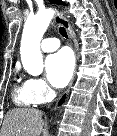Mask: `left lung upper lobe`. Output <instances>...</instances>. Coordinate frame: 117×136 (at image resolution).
I'll list each match as a JSON object with an SVG mask.
<instances>
[{
	"label": "left lung upper lobe",
	"mask_w": 117,
	"mask_h": 136,
	"mask_svg": "<svg viewBox=\"0 0 117 136\" xmlns=\"http://www.w3.org/2000/svg\"><path fill=\"white\" fill-rule=\"evenodd\" d=\"M50 2L60 4V5H66L65 3L61 2L60 0H50Z\"/></svg>",
	"instance_id": "left-lung-upper-lobe-1"
}]
</instances>
